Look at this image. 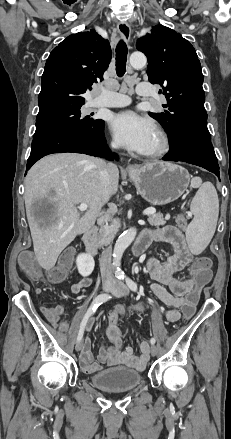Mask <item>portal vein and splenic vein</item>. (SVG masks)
Listing matches in <instances>:
<instances>
[{
    "label": "portal vein and splenic vein",
    "instance_id": "obj_1",
    "mask_svg": "<svg viewBox=\"0 0 231 439\" xmlns=\"http://www.w3.org/2000/svg\"><path fill=\"white\" fill-rule=\"evenodd\" d=\"M87 208H88V205H87L86 203H81V204L78 206V209H79L80 211H85V210H87ZM155 213H156V209H155V208H147V209L144 210V212H143L144 215H153V214H155Z\"/></svg>",
    "mask_w": 231,
    "mask_h": 439
}]
</instances>
